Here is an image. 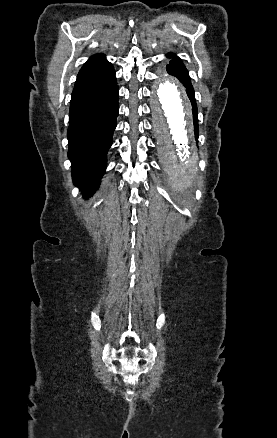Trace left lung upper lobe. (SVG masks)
<instances>
[{
	"label": "left lung upper lobe",
	"instance_id": "5c2ea615",
	"mask_svg": "<svg viewBox=\"0 0 277 438\" xmlns=\"http://www.w3.org/2000/svg\"><path fill=\"white\" fill-rule=\"evenodd\" d=\"M167 57L171 59L169 64L166 66L167 72L171 75L176 76L183 83V85L187 87L186 92L192 102L193 114L197 115L194 90L187 69L185 68L181 59L175 54L168 53Z\"/></svg>",
	"mask_w": 277,
	"mask_h": 438
}]
</instances>
